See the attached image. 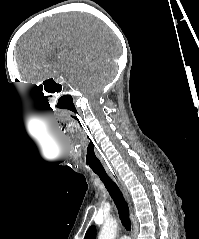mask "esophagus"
<instances>
[{
  "instance_id": "1",
  "label": "esophagus",
  "mask_w": 199,
  "mask_h": 239,
  "mask_svg": "<svg viewBox=\"0 0 199 239\" xmlns=\"http://www.w3.org/2000/svg\"><path fill=\"white\" fill-rule=\"evenodd\" d=\"M111 177L119 185V187L121 188L125 198L127 199L129 205L131 206L130 195H129L128 190H127L126 186L124 185L123 181L120 179V177L118 175H111Z\"/></svg>"
}]
</instances>
